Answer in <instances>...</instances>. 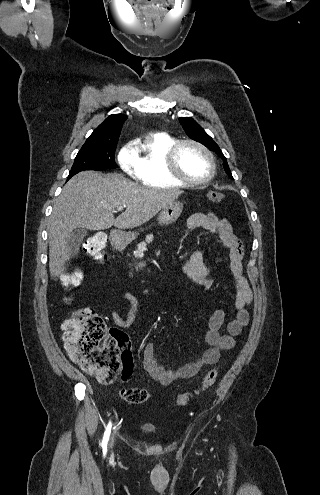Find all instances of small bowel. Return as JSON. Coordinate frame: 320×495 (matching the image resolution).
<instances>
[{
	"mask_svg": "<svg viewBox=\"0 0 320 495\" xmlns=\"http://www.w3.org/2000/svg\"><path fill=\"white\" fill-rule=\"evenodd\" d=\"M201 228L209 236L218 238L222 245L228 250V266L235 290L234 306L236 314L233 319L226 323L224 310L217 309L210 317L208 330L205 334V342L208 349L195 361L187 363L176 370L166 369L158 363L154 343L148 342L143 350V367L149 376L159 384L167 386L180 379H188L195 376L204 366L217 363L223 351L231 350L236 344V337L241 334L248 323L247 307L252 302L253 294L243 272L244 249L239 238L234 234L231 224L224 218H219L212 212L195 213L187 221L185 229L190 231ZM183 273L193 282L209 289L212 286L210 269L204 263L201 250L194 251L181 266ZM152 289H146L142 295H149ZM123 299L129 304L127 317L123 319L116 310L110 315L114 323L126 328L130 325L139 308L140 297L133 293H125ZM132 372L131 367H124L122 378L126 380Z\"/></svg>",
	"mask_w": 320,
	"mask_h": 495,
	"instance_id": "obj_1",
	"label": "small bowel"
}]
</instances>
